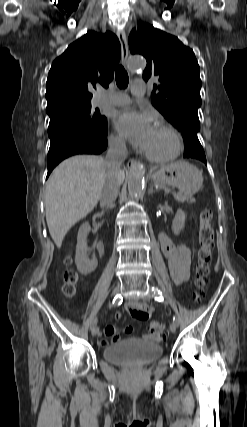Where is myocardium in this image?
Here are the masks:
<instances>
[{
    "label": "myocardium",
    "mask_w": 247,
    "mask_h": 427,
    "mask_svg": "<svg viewBox=\"0 0 247 427\" xmlns=\"http://www.w3.org/2000/svg\"><path fill=\"white\" fill-rule=\"evenodd\" d=\"M158 127L167 131L170 134V136L172 137V139H173L172 149L166 154L158 155V154H153V153L146 151V150L143 151V154L148 160H150L152 162L166 163V162L174 160L180 154V152L182 150V138H181V135L179 134V132L177 131V129L174 126H172L171 124L161 123V124H159Z\"/></svg>",
    "instance_id": "obj_1"
}]
</instances>
